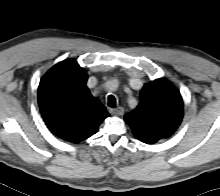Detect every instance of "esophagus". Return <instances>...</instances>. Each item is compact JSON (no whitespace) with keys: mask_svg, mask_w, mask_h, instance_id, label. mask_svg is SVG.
I'll return each instance as SVG.
<instances>
[{"mask_svg":"<svg viewBox=\"0 0 220 196\" xmlns=\"http://www.w3.org/2000/svg\"><path fill=\"white\" fill-rule=\"evenodd\" d=\"M110 113L112 115L122 116L124 113V109L122 107H117V108L111 109Z\"/></svg>","mask_w":220,"mask_h":196,"instance_id":"obj_1","label":"esophagus"}]
</instances>
